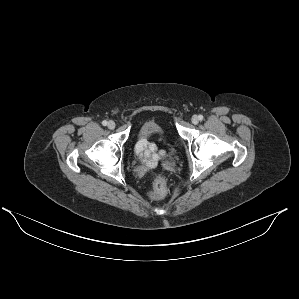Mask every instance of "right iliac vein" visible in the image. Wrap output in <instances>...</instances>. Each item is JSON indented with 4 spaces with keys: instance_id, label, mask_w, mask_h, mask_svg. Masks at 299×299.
<instances>
[{
    "instance_id": "1",
    "label": "right iliac vein",
    "mask_w": 299,
    "mask_h": 299,
    "mask_svg": "<svg viewBox=\"0 0 299 299\" xmlns=\"http://www.w3.org/2000/svg\"><path fill=\"white\" fill-rule=\"evenodd\" d=\"M107 126L109 129H114L115 128V122L110 120L108 123H107Z\"/></svg>"
}]
</instances>
